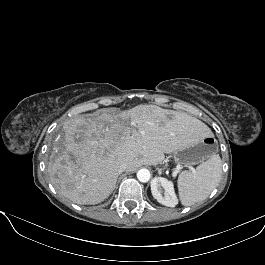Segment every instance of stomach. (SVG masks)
Instances as JSON below:
<instances>
[{
  "mask_svg": "<svg viewBox=\"0 0 265 265\" xmlns=\"http://www.w3.org/2000/svg\"><path fill=\"white\" fill-rule=\"evenodd\" d=\"M215 148L213 137L205 136L199 141L186 143L174 151V158L183 165H196L214 155Z\"/></svg>",
  "mask_w": 265,
  "mask_h": 265,
  "instance_id": "1",
  "label": "stomach"
}]
</instances>
